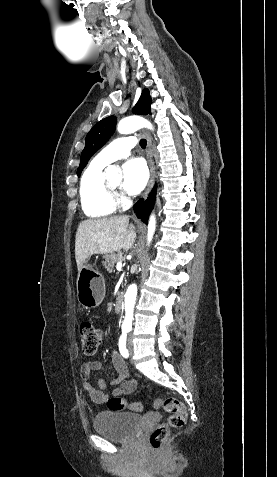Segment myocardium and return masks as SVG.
Listing matches in <instances>:
<instances>
[{
    "instance_id": "1",
    "label": "myocardium",
    "mask_w": 277,
    "mask_h": 477,
    "mask_svg": "<svg viewBox=\"0 0 277 477\" xmlns=\"http://www.w3.org/2000/svg\"><path fill=\"white\" fill-rule=\"evenodd\" d=\"M104 188H105V191H106L107 195L111 199L115 200L116 197H117V194H118V188L114 187L106 177L104 178Z\"/></svg>"
}]
</instances>
